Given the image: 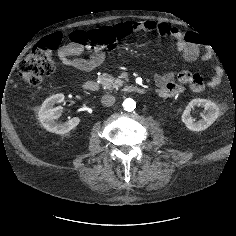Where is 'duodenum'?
Masks as SVG:
<instances>
[{
  "mask_svg": "<svg viewBox=\"0 0 236 236\" xmlns=\"http://www.w3.org/2000/svg\"><path fill=\"white\" fill-rule=\"evenodd\" d=\"M84 89L89 92H98L100 90V84L96 80H88L84 83ZM125 90L129 93L143 94L145 88L137 85H127Z\"/></svg>",
  "mask_w": 236,
  "mask_h": 236,
  "instance_id": "obj_1",
  "label": "duodenum"
}]
</instances>
